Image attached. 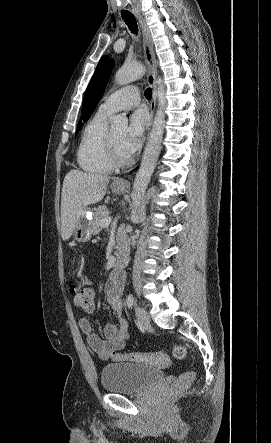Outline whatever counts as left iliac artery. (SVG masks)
Masks as SVG:
<instances>
[{"instance_id":"obj_1","label":"left iliac artery","mask_w":271,"mask_h":443,"mask_svg":"<svg viewBox=\"0 0 271 443\" xmlns=\"http://www.w3.org/2000/svg\"><path fill=\"white\" fill-rule=\"evenodd\" d=\"M133 303H134V297L132 294H129L126 298V304H127L128 308H132Z\"/></svg>"}]
</instances>
